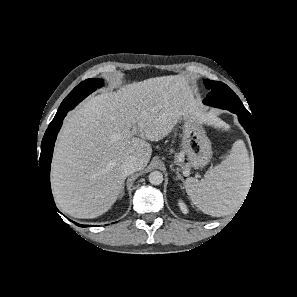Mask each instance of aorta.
Masks as SVG:
<instances>
[{
    "label": "aorta",
    "instance_id": "aorta-1",
    "mask_svg": "<svg viewBox=\"0 0 297 297\" xmlns=\"http://www.w3.org/2000/svg\"><path fill=\"white\" fill-rule=\"evenodd\" d=\"M149 182L152 185H160L163 182V174L160 171H153L149 174Z\"/></svg>",
    "mask_w": 297,
    "mask_h": 297
}]
</instances>
